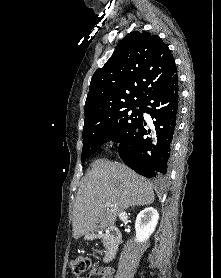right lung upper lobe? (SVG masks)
Returning a JSON list of instances; mask_svg holds the SVG:
<instances>
[{"label":"right lung upper lobe","instance_id":"cb5924a9","mask_svg":"<svg viewBox=\"0 0 221 278\" xmlns=\"http://www.w3.org/2000/svg\"><path fill=\"white\" fill-rule=\"evenodd\" d=\"M176 73L174 58L159 36L146 31L129 33L104 67L92 76L84 122L142 103L153 89Z\"/></svg>","mask_w":221,"mask_h":278}]
</instances>
